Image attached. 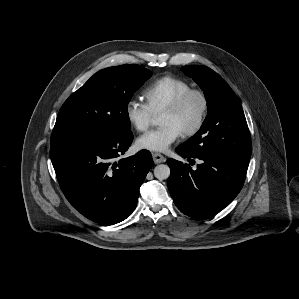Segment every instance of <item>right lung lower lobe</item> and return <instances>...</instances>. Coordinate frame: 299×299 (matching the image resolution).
<instances>
[{"instance_id": "obj_1", "label": "right lung lower lobe", "mask_w": 299, "mask_h": 299, "mask_svg": "<svg viewBox=\"0 0 299 299\" xmlns=\"http://www.w3.org/2000/svg\"><path fill=\"white\" fill-rule=\"evenodd\" d=\"M132 141V132L51 135L50 157L60 187L71 205L90 220L112 225L135 209L153 160L148 150H141L116 162Z\"/></svg>"}]
</instances>
